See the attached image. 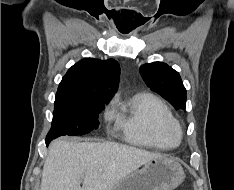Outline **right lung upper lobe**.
Listing matches in <instances>:
<instances>
[{"instance_id": "1", "label": "right lung upper lobe", "mask_w": 234, "mask_h": 190, "mask_svg": "<svg viewBox=\"0 0 234 190\" xmlns=\"http://www.w3.org/2000/svg\"><path fill=\"white\" fill-rule=\"evenodd\" d=\"M119 75L115 60L85 58L68 70L57 94L109 102L118 88Z\"/></svg>"}]
</instances>
